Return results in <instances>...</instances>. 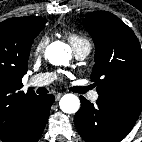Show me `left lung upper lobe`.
<instances>
[{
	"label": "left lung upper lobe",
	"mask_w": 142,
	"mask_h": 142,
	"mask_svg": "<svg viewBox=\"0 0 142 142\" xmlns=\"http://www.w3.org/2000/svg\"><path fill=\"white\" fill-rule=\"evenodd\" d=\"M83 25L95 47L91 80L99 98L123 112L139 116L142 109V51L134 32L107 11L86 14Z\"/></svg>",
	"instance_id": "left-lung-upper-lobe-1"
}]
</instances>
